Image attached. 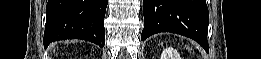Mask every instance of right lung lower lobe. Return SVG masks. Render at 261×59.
I'll return each mask as SVG.
<instances>
[{
  "label": "right lung lower lobe",
  "mask_w": 261,
  "mask_h": 59,
  "mask_svg": "<svg viewBox=\"0 0 261 59\" xmlns=\"http://www.w3.org/2000/svg\"><path fill=\"white\" fill-rule=\"evenodd\" d=\"M108 0H49L46 6L45 48L54 41L82 39L105 45L103 25Z\"/></svg>",
  "instance_id": "1"
}]
</instances>
